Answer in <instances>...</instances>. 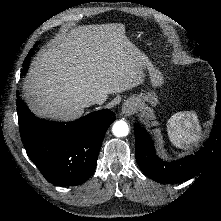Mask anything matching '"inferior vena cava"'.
<instances>
[{
  "mask_svg": "<svg viewBox=\"0 0 221 221\" xmlns=\"http://www.w3.org/2000/svg\"><path fill=\"white\" fill-rule=\"evenodd\" d=\"M105 101V99L102 96H92L86 100V103L88 105L93 104H102Z\"/></svg>",
  "mask_w": 221,
  "mask_h": 221,
  "instance_id": "1",
  "label": "inferior vena cava"
}]
</instances>
